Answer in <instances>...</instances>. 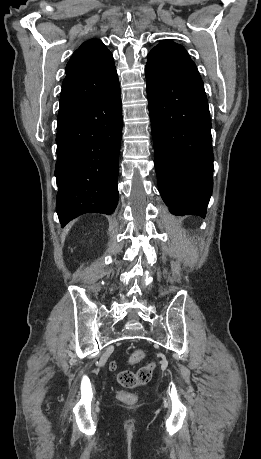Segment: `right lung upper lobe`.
Instances as JSON below:
<instances>
[{
	"mask_svg": "<svg viewBox=\"0 0 261 459\" xmlns=\"http://www.w3.org/2000/svg\"><path fill=\"white\" fill-rule=\"evenodd\" d=\"M65 73L58 119L91 105L119 84L113 56L97 39L81 44Z\"/></svg>",
	"mask_w": 261,
	"mask_h": 459,
	"instance_id": "obj_1",
	"label": "right lung upper lobe"
}]
</instances>
